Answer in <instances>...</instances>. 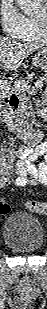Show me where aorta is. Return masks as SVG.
Here are the masks:
<instances>
[{"instance_id": "1", "label": "aorta", "mask_w": 47, "mask_h": 309, "mask_svg": "<svg viewBox=\"0 0 47 309\" xmlns=\"http://www.w3.org/2000/svg\"><path fill=\"white\" fill-rule=\"evenodd\" d=\"M17 2L25 14L30 15L35 11L32 0H17Z\"/></svg>"}]
</instances>
